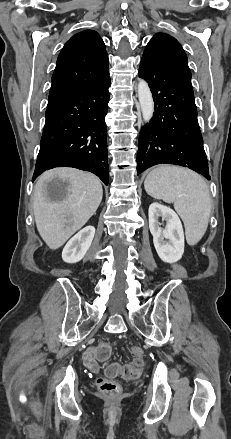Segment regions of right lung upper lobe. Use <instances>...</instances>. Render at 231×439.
Listing matches in <instances>:
<instances>
[{
	"label": "right lung upper lobe",
	"mask_w": 231,
	"mask_h": 439,
	"mask_svg": "<svg viewBox=\"0 0 231 439\" xmlns=\"http://www.w3.org/2000/svg\"><path fill=\"white\" fill-rule=\"evenodd\" d=\"M109 76L105 44L94 30L72 36L61 50L52 76L48 105Z\"/></svg>",
	"instance_id": "1"
}]
</instances>
